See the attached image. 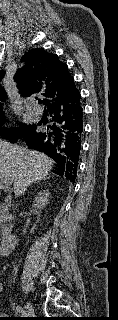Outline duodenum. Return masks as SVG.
<instances>
[{"label": "duodenum", "instance_id": "obj_1", "mask_svg": "<svg viewBox=\"0 0 118 320\" xmlns=\"http://www.w3.org/2000/svg\"><path fill=\"white\" fill-rule=\"evenodd\" d=\"M3 220L5 221V227L3 229V237L0 243V255L7 256L14 249L17 244V236L13 233L10 226V217L4 215Z\"/></svg>", "mask_w": 118, "mask_h": 320}]
</instances>
